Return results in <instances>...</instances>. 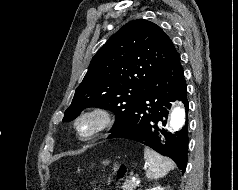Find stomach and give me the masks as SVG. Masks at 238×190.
<instances>
[{"label": "stomach", "instance_id": "1", "mask_svg": "<svg viewBox=\"0 0 238 190\" xmlns=\"http://www.w3.org/2000/svg\"><path fill=\"white\" fill-rule=\"evenodd\" d=\"M103 163H104V164H108V161H104Z\"/></svg>", "mask_w": 238, "mask_h": 190}]
</instances>
